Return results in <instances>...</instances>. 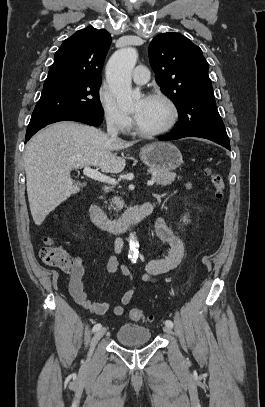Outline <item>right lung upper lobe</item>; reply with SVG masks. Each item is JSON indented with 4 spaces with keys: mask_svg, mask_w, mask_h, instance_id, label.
Wrapping results in <instances>:
<instances>
[{
    "mask_svg": "<svg viewBox=\"0 0 265 407\" xmlns=\"http://www.w3.org/2000/svg\"><path fill=\"white\" fill-rule=\"evenodd\" d=\"M111 40L104 29L87 27L77 31L55 53L48 77L69 75L101 80L100 74Z\"/></svg>",
    "mask_w": 265,
    "mask_h": 407,
    "instance_id": "obj_1",
    "label": "right lung upper lobe"
}]
</instances>
